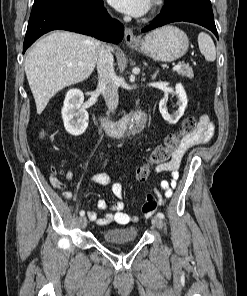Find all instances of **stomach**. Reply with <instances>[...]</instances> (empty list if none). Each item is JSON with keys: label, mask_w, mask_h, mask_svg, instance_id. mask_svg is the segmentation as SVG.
Returning a JSON list of instances; mask_svg holds the SVG:
<instances>
[{"label": "stomach", "mask_w": 247, "mask_h": 296, "mask_svg": "<svg viewBox=\"0 0 247 296\" xmlns=\"http://www.w3.org/2000/svg\"><path fill=\"white\" fill-rule=\"evenodd\" d=\"M132 48L160 61L171 62L181 58L188 50L187 35L174 26H164L147 34Z\"/></svg>", "instance_id": "obj_1"}]
</instances>
